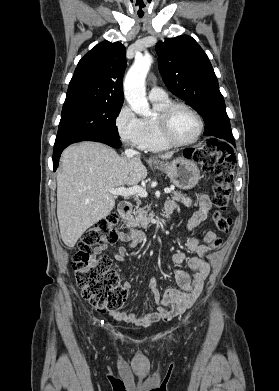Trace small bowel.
<instances>
[{"instance_id":"c3829d8e","label":"small bowel","mask_w":279,"mask_h":391,"mask_svg":"<svg viewBox=\"0 0 279 391\" xmlns=\"http://www.w3.org/2000/svg\"><path fill=\"white\" fill-rule=\"evenodd\" d=\"M199 209L192 215L188 222V228L194 229L203 222L211 209L212 203L206 194L197 195ZM165 207H170L172 211L176 205L172 201H168ZM217 236L213 231H207L205 234L206 244H200L196 239L188 241L187 246L191 253L196 254L195 257L187 259L184 252H176L173 255V263L181 266L187 262L191 274L178 269L175 272L176 282L180 289H167L163 295L160 294L157 280L154 276L149 279V289L154 296V304L156 311L139 315L137 313H127L125 311H111L110 316L119 322H126L136 326L148 327L161 321L168 322L172 318L184 313L189 309L197 298L200 296L204 282L209 274V264L205 255L209 251V243ZM119 239L122 242L128 243L130 247L136 245V241L130 233H120ZM107 249L106 245H101L95 248V254H101ZM126 248L119 246L113 257L117 261H123L126 257ZM130 284L124 282V288L129 289Z\"/></svg>"}]
</instances>
